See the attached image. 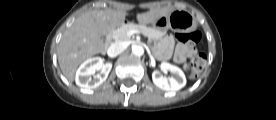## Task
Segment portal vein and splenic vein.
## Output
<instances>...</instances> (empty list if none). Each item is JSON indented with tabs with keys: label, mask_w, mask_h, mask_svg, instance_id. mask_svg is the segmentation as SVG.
Here are the masks:
<instances>
[{
	"label": "portal vein and splenic vein",
	"mask_w": 276,
	"mask_h": 120,
	"mask_svg": "<svg viewBox=\"0 0 276 120\" xmlns=\"http://www.w3.org/2000/svg\"><path fill=\"white\" fill-rule=\"evenodd\" d=\"M135 33H139V31L138 30H130V31H128V36H131V35H133V34H135Z\"/></svg>",
	"instance_id": "portal-vein-and-splenic-vein-1"
}]
</instances>
